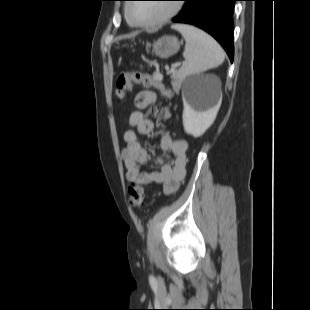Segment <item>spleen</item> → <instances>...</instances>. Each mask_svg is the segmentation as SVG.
Returning a JSON list of instances; mask_svg holds the SVG:
<instances>
[{"label":"spleen","mask_w":310,"mask_h":310,"mask_svg":"<svg viewBox=\"0 0 310 310\" xmlns=\"http://www.w3.org/2000/svg\"><path fill=\"white\" fill-rule=\"evenodd\" d=\"M172 28L179 31L186 42L183 52L185 61L179 70V76L199 74L223 63V49L206 32L186 24H176Z\"/></svg>","instance_id":"spleen-1"}]
</instances>
